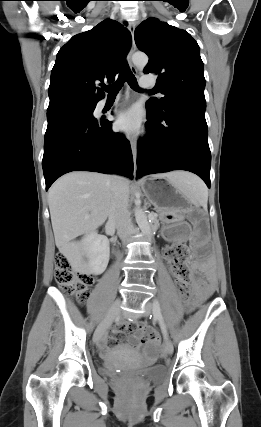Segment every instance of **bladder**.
I'll return each mask as SVG.
<instances>
[{"instance_id": "bladder-1", "label": "bladder", "mask_w": 261, "mask_h": 427, "mask_svg": "<svg viewBox=\"0 0 261 427\" xmlns=\"http://www.w3.org/2000/svg\"><path fill=\"white\" fill-rule=\"evenodd\" d=\"M100 373L104 376H114L118 371L122 373H134L142 376L149 381H161L166 375V369L162 365H154L144 369L136 370L131 367L117 369L116 367L105 364L100 368Z\"/></svg>"}]
</instances>
